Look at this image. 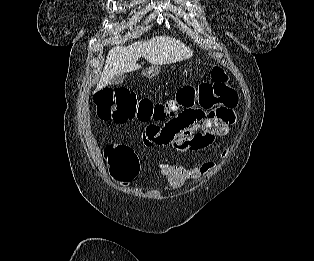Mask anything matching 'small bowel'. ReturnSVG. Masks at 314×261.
Masks as SVG:
<instances>
[{
  "label": "small bowel",
  "instance_id": "small-bowel-1",
  "mask_svg": "<svg viewBox=\"0 0 314 261\" xmlns=\"http://www.w3.org/2000/svg\"><path fill=\"white\" fill-rule=\"evenodd\" d=\"M236 98L225 105L207 109H181L171 120L145 129L146 146L170 148L172 151H200L213 146L216 139L224 137L236 121ZM215 168L214 163L183 165L163 162L157 165L160 175L174 188H180L187 180L200 179Z\"/></svg>",
  "mask_w": 314,
  "mask_h": 261
}]
</instances>
